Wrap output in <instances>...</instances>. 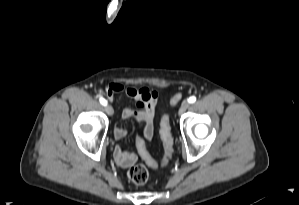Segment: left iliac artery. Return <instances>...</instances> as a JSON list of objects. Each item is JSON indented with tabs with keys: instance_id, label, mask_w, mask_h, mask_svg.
I'll return each instance as SVG.
<instances>
[{
	"instance_id": "obj_1",
	"label": "left iliac artery",
	"mask_w": 299,
	"mask_h": 205,
	"mask_svg": "<svg viewBox=\"0 0 299 205\" xmlns=\"http://www.w3.org/2000/svg\"><path fill=\"white\" fill-rule=\"evenodd\" d=\"M196 101V97L195 96H191L189 99H188V102L189 103H194Z\"/></svg>"
}]
</instances>
